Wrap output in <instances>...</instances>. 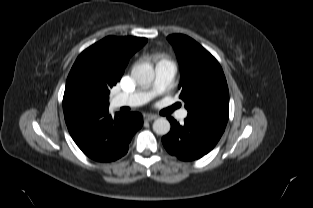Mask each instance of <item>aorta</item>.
<instances>
[{"instance_id": "762f6f07", "label": "aorta", "mask_w": 313, "mask_h": 208, "mask_svg": "<svg viewBox=\"0 0 313 208\" xmlns=\"http://www.w3.org/2000/svg\"><path fill=\"white\" fill-rule=\"evenodd\" d=\"M132 77L140 85L151 84L154 80L155 73L150 64H136L131 71ZM170 123L166 118H158L153 123V131L158 135H166L170 131Z\"/></svg>"}]
</instances>
